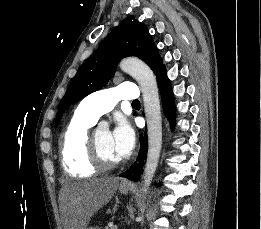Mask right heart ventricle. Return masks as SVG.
Instances as JSON below:
<instances>
[{
	"mask_svg": "<svg viewBox=\"0 0 261 229\" xmlns=\"http://www.w3.org/2000/svg\"><path fill=\"white\" fill-rule=\"evenodd\" d=\"M96 122L88 118L77 105L60 141L61 164L66 172L74 176H92L98 166L92 157L90 129Z\"/></svg>",
	"mask_w": 261,
	"mask_h": 229,
	"instance_id": "e07e8e85",
	"label": "right heart ventricle"
}]
</instances>
